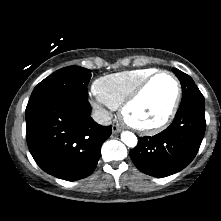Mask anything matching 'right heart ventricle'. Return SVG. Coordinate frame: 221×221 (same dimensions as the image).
I'll use <instances>...</instances> for the list:
<instances>
[{
	"instance_id": "1",
	"label": "right heart ventricle",
	"mask_w": 221,
	"mask_h": 221,
	"mask_svg": "<svg viewBox=\"0 0 221 221\" xmlns=\"http://www.w3.org/2000/svg\"><path fill=\"white\" fill-rule=\"evenodd\" d=\"M154 68H138L102 76L93 83L96 97L110 108H119L124 99Z\"/></svg>"
}]
</instances>
